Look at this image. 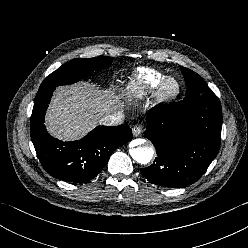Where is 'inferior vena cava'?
<instances>
[{"label": "inferior vena cava", "instance_id": "602c4592", "mask_svg": "<svg viewBox=\"0 0 248 248\" xmlns=\"http://www.w3.org/2000/svg\"><path fill=\"white\" fill-rule=\"evenodd\" d=\"M124 114L121 112H116L113 114H109L102 118L103 124L108 126H117L123 123Z\"/></svg>", "mask_w": 248, "mask_h": 248}]
</instances>
